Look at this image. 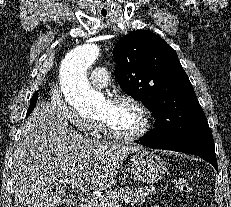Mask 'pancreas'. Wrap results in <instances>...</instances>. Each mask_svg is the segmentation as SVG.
<instances>
[{"label": "pancreas", "mask_w": 231, "mask_h": 207, "mask_svg": "<svg viewBox=\"0 0 231 207\" xmlns=\"http://www.w3.org/2000/svg\"><path fill=\"white\" fill-rule=\"evenodd\" d=\"M157 191L151 187H139L131 189L129 187H120L111 192H107L102 199H94L88 202L87 207H108V203H130L143 204L146 198L156 194Z\"/></svg>", "instance_id": "1"}]
</instances>
